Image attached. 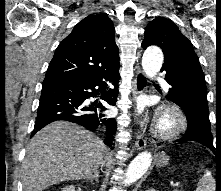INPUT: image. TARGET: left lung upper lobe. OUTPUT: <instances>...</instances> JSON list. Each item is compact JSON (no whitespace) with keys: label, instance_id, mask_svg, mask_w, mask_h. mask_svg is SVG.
Listing matches in <instances>:
<instances>
[{"label":"left lung upper lobe","instance_id":"1","mask_svg":"<svg viewBox=\"0 0 221 191\" xmlns=\"http://www.w3.org/2000/svg\"><path fill=\"white\" fill-rule=\"evenodd\" d=\"M150 45H157L163 50L165 61L161 71L179 72L188 67L191 62L199 63L191 42L167 18L157 17L148 23L142 47L146 49ZM197 142L213 150V136L210 125L205 135Z\"/></svg>","mask_w":221,"mask_h":191}]
</instances>
